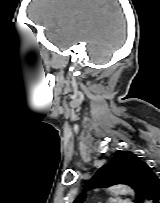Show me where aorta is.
I'll use <instances>...</instances> for the list:
<instances>
[{"mask_svg":"<svg viewBox=\"0 0 160 203\" xmlns=\"http://www.w3.org/2000/svg\"><path fill=\"white\" fill-rule=\"evenodd\" d=\"M110 191L116 194H133V190L124 185L114 186L110 189ZM145 203H149V202L145 201Z\"/></svg>","mask_w":160,"mask_h":203,"instance_id":"762f6f07","label":"aorta"}]
</instances>
